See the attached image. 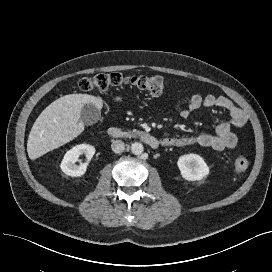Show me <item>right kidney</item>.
<instances>
[{
    "instance_id": "right-kidney-1",
    "label": "right kidney",
    "mask_w": 272,
    "mask_h": 272,
    "mask_svg": "<svg viewBox=\"0 0 272 272\" xmlns=\"http://www.w3.org/2000/svg\"><path fill=\"white\" fill-rule=\"evenodd\" d=\"M85 154L87 160L90 161L95 154V148L89 144H80L74 146L72 149L67 151L61 162V170L68 176L80 177L85 174L87 170V163L76 165L75 163L79 160L81 155Z\"/></svg>"
}]
</instances>
